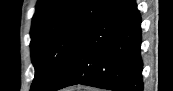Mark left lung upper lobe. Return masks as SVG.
Listing matches in <instances>:
<instances>
[{
	"label": "left lung upper lobe",
	"mask_w": 173,
	"mask_h": 91,
	"mask_svg": "<svg viewBox=\"0 0 173 91\" xmlns=\"http://www.w3.org/2000/svg\"><path fill=\"white\" fill-rule=\"evenodd\" d=\"M113 0H38L31 27L35 77L30 91H49Z\"/></svg>",
	"instance_id": "left-lung-upper-lobe-1"
}]
</instances>
